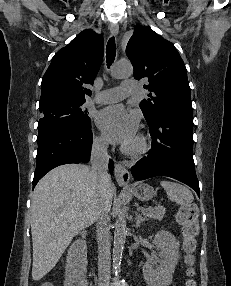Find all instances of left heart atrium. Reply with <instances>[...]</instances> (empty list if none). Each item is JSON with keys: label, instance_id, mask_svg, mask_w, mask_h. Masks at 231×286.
<instances>
[{"label": "left heart atrium", "instance_id": "left-heart-atrium-1", "mask_svg": "<svg viewBox=\"0 0 231 286\" xmlns=\"http://www.w3.org/2000/svg\"><path fill=\"white\" fill-rule=\"evenodd\" d=\"M96 122L107 139L114 144L129 146L136 139L137 120L120 105L102 109Z\"/></svg>", "mask_w": 231, "mask_h": 286}]
</instances>
